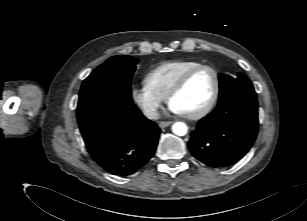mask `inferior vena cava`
<instances>
[{
	"instance_id": "602c4592",
	"label": "inferior vena cava",
	"mask_w": 307,
	"mask_h": 221,
	"mask_svg": "<svg viewBox=\"0 0 307 221\" xmlns=\"http://www.w3.org/2000/svg\"><path fill=\"white\" fill-rule=\"evenodd\" d=\"M145 116L149 119H157L159 117V114L156 108L151 107L145 111Z\"/></svg>"
}]
</instances>
